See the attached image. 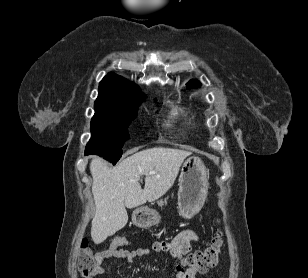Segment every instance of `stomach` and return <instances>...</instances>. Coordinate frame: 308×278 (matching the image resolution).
Instances as JSON below:
<instances>
[{"label":"stomach","mask_w":308,"mask_h":278,"mask_svg":"<svg viewBox=\"0 0 308 278\" xmlns=\"http://www.w3.org/2000/svg\"><path fill=\"white\" fill-rule=\"evenodd\" d=\"M208 171L203 161L189 157L182 165L179 176L178 209L184 218H192L202 208L208 193ZM134 223L143 228L157 225L160 216L150 208H139L133 214Z\"/></svg>","instance_id":"stomach-1"}]
</instances>
